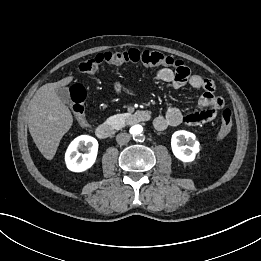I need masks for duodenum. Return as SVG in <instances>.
Wrapping results in <instances>:
<instances>
[{
  "label": "duodenum",
  "mask_w": 261,
  "mask_h": 261,
  "mask_svg": "<svg viewBox=\"0 0 261 261\" xmlns=\"http://www.w3.org/2000/svg\"><path fill=\"white\" fill-rule=\"evenodd\" d=\"M149 119H150V114L147 111L139 110L131 113L127 118V122L129 124H137L141 122H146ZM114 133H115V129L109 123H102L98 125L96 128V135L100 139H108L112 137Z\"/></svg>",
  "instance_id": "obj_1"
}]
</instances>
